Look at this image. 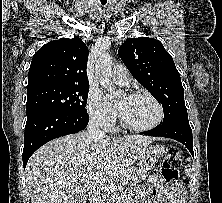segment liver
<instances>
[{
  "instance_id": "6515ba94",
  "label": "liver",
  "mask_w": 222,
  "mask_h": 203,
  "mask_svg": "<svg viewBox=\"0 0 222 203\" xmlns=\"http://www.w3.org/2000/svg\"><path fill=\"white\" fill-rule=\"evenodd\" d=\"M154 140L140 135L94 138L83 131L50 141L26 166L32 203H86L97 186L117 180Z\"/></svg>"
}]
</instances>
